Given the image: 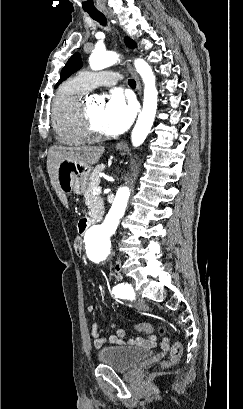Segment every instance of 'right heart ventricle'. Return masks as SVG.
I'll list each match as a JSON object with an SVG mask.
<instances>
[{"instance_id": "e07e8e85", "label": "right heart ventricle", "mask_w": 243, "mask_h": 409, "mask_svg": "<svg viewBox=\"0 0 243 409\" xmlns=\"http://www.w3.org/2000/svg\"><path fill=\"white\" fill-rule=\"evenodd\" d=\"M89 90L80 77L67 79L58 88L52 103V125L60 142L81 145L87 141L81 109Z\"/></svg>"}]
</instances>
